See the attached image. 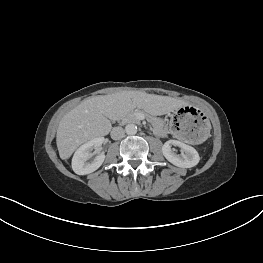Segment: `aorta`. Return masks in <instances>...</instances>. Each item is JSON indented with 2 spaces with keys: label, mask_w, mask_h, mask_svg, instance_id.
Here are the masks:
<instances>
[{
  "label": "aorta",
  "mask_w": 263,
  "mask_h": 263,
  "mask_svg": "<svg viewBox=\"0 0 263 263\" xmlns=\"http://www.w3.org/2000/svg\"><path fill=\"white\" fill-rule=\"evenodd\" d=\"M125 132L128 135H135L137 133V126L133 123H129L125 126Z\"/></svg>",
  "instance_id": "762f6f07"
}]
</instances>
